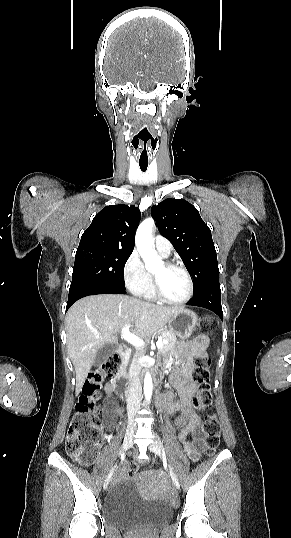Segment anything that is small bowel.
Listing matches in <instances>:
<instances>
[{"instance_id": "obj_1", "label": "small bowel", "mask_w": 291, "mask_h": 538, "mask_svg": "<svg viewBox=\"0 0 291 538\" xmlns=\"http://www.w3.org/2000/svg\"><path fill=\"white\" fill-rule=\"evenodd\" d=\"M201 339L197 343L188 347L177 359L174 372L171 376V383L176 388L179 401L175 400L173 392L168 391L160 394L158 397L159 406L164 414L172 415L180 412L175 423L181 430L178 438L182 442L187 456L192 461H197L204 449V426L199 415L196 413V407H192L191 402L197 391V387L191 380L193 369L192 359L199 350ZM116 386L113 381L109 382L106 387L107 398L105 401V419L104 424L107 428L115 425V416L123 412L114 398ZM190 437V438H189Z\"/></svg>"}]
</instances>
